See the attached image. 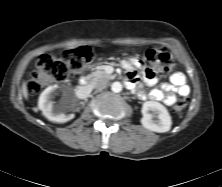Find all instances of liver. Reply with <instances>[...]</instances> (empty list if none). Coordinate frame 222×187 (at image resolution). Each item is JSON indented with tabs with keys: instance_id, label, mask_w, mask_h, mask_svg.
<instances>
[{
	"instance_id": "liver-1",
	"label": "liver",
	"mask_w": 222,
	"mask_h": 187,
	"mask_svg": "<svg viewBox=\"0 0 222 187\" xmlns=\"http://www.w3.org/2000/svg\"><path fill=\"white\" fill-rule=\"evenodd\" d=\"M22 93H23V96L25 97V99L27 100L28 99V87H27V84L25 81L22 83Z\"/></svg>"
}]
</instances>
